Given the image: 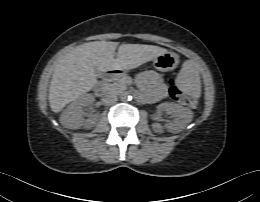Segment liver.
Segmentation results:
<instances>
[{
  "label": "liver",
  "instance_id": "6515ba94",
  "mask_svg": "<svg viewBox=\"0 0 260 202\" xmlns=\"http://www.w3.org/2000/svg\"><path fill=\"white\" fill-rule=\"evenodd\" d=\"M95 41L84 43L67 53L55 66L49 88V103L53 112H60L68 103L89 92L97 83L100 72L128 70L153 60L166 49L144 44H122Z\"/></svg>",
  "mask_w": 260,
  "mask_h": 202
}]
</instances>
